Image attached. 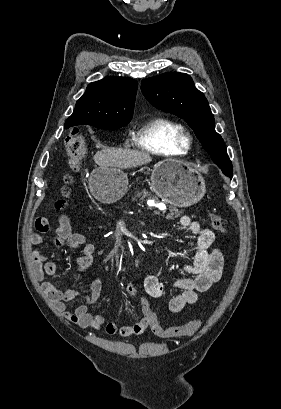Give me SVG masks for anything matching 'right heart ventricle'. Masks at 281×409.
Listing matches in <instances>:
<instances>
[{
  "label": "right heart ventricle",
  "instance_id": "e07e8e85",
  "mask_svg": "<svg viewBox=\"0 0 281 409\" xmlns=\"http://www.w3.org/2000/svg\"><path fill=\"white\" fill-rule=\"evenodd\" d=\"M184 133L185 128L180 122L166 116H155L140 128L138 142L142 149L154 155L183 156L186 150L180 139Z\"/></svg>",
  "mask_w": 281,
  "mask_h": 409
}]
</instances>
